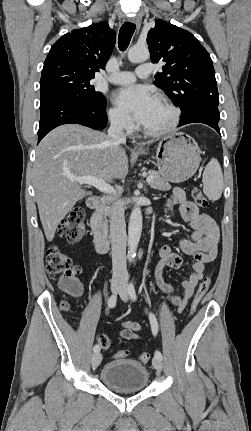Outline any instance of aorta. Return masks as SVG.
Here are the masks:
<instances>
[{"instance_id":"1","label":"aorta","mask_w":251,"mask_h":431,"mask_svg":"<svg viewBox=\"0 0 251 431\" xmlns=\"http://www.w3.org/2000/svg\"><path fill=\"white\" fill-rule=\"evenodd\" d=\"M149 50L146 47H131L128 51V59L133 63L143 62L149 58ZM142 232V213L138 206L131 212L128 225V257L131 260L137 251Z\"/></svg>"}]
</instances>
